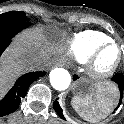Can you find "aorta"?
I'll return each mask as SVG.
<instances>
[{"mask_svg": "<svg viewBox=\"0 0 124 124\" xmlns=\"http://www.w3.org/2000/svg\"><path fill=\"white\" fill-rule=\"evenodd\" d=\"M50 83L55 90H66L71 83L69 72L63 68H55L50 72Z\"/></svg>", "mask_w": 124, "mask_h": 124, "instance_id": "762f6f07", "label": "aorta"}]
</instances>
